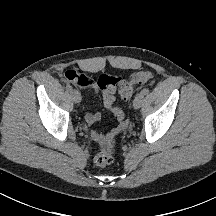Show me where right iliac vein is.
I'll return each instance as SVG.
<instances>
[{
	"label": "right iliac vein",
	"mask_w": 216,
	"mask_h": 216,
	"mask_svg": "<svg viewBox=\"0 0 216 216\" xmlns=\"http://www.w3.org/2000/svg\"><path fill=\"white\" fill-rule=\"evenodd\" d=\"M71 97L75 103L81 102V94L77 90L71 91Z\"/></svg>",
	"instance_id": "1"
}]
</instances>
